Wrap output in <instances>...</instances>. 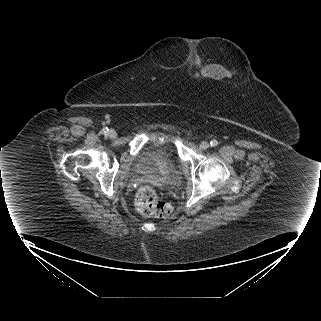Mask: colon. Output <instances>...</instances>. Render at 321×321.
I'll list each match as a JSON object with an SVG mask.
<instances>
[{"label": "colon", "mask_w": 321, "mask_h": 321, "mask_svg": "<svg viewBox=\"0 0 321 321\" xmlns=\"http://www.w3.org/2000/svg\"><path fill=\"white\" fill-rule=\"evenodd\" d=\"M137 211L146 217H167L172 207L169 203L162 201L154 188L150 186L141 187L135 197Z\"/></svg>", "instance_id": "colon-1"}]
</instances>
